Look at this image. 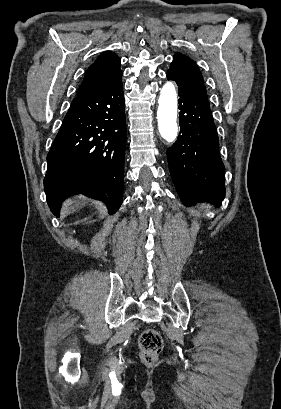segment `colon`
Returning <instances> with one entry per match:
<instances>
[{"mask_svg":"<svg viewBox=\"0 0 281 409\" xmlns=\"http://www.w3.org/2000/svg\"><path fill=\"white\" fill-rule=\"evenodd\" d=\"M141 358L145 363H153L163 348V339L153 328L145 329L139 339Z\"/></svg>","mask_w":281,"mask_h":409,"instance_id":"obj_1","label":"colon"}]
</instances>
